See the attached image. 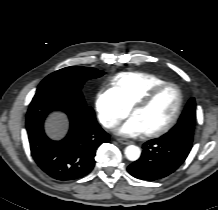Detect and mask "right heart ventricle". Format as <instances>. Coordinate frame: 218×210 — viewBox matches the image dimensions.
<instances>
[{"label": "right heart ventricle", "instance_id": "e07e8e85", "mask_svg": "<svg viewBox=\"0 0 218 210\" xmlns=\"http://www.w3.org/2000/svg\"><path fill=\"white\" fill-rule=\"evenodd\" d=\"M166 82L162 78L145 72H124L110 81L111 89L131 108L154 87Z\"/></svg>", "mask_w": 218, "mask_h": 210}]
</instances>
